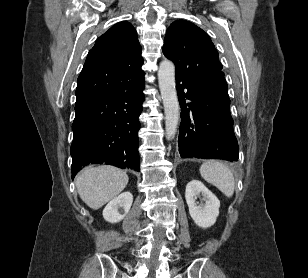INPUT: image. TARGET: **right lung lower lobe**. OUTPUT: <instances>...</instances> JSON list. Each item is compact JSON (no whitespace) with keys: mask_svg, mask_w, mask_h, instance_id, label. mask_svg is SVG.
Returning <instances> with one entry per match:
<instances>
[{"mask_svg":"<svg viewBox=\"0 0 308 278\" xmlns=\"http://www.w3.org/2000/svg\"><path fill=\"white\" fill-rule=\"evenodd\" d=\"M143 89L144 78L125 92L75 104L72 178L89 163L140 171L137 132Z\"/></svg>","mask_w":308,"mask_h":278,"instance_id":"1","label":"right lung lower lobe"}]
</instances>
